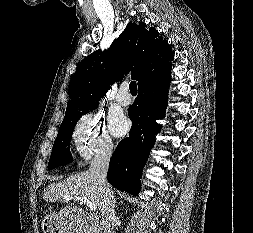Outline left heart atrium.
Here are the masks:
<instances>
[{
    "instance_id": "1",
    "label": "left heart atrium",
    "mask_w": 253,
    "mask_h": 233,
    "mask_svg": "<svg viewBox=\"0 0 253 233\" xmlns=\"http://www.w3.org/2000/svg\"><path fill=\"white\" fill-rule=\"evenodd\" d=\"M109 126L111 132L115 136L119 137L125 135L128 132L130 124L125 117L121 115H113L109 120Z\"/></svg>"
}]
</instances>
